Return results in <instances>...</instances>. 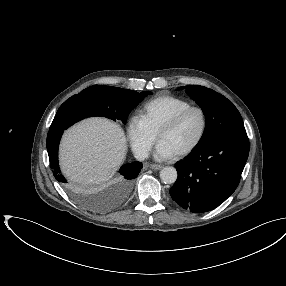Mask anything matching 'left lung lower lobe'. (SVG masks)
<instances>
[{"instance_id":"0a47b994","label":"left lung lower lobe","mask_w":286,"mask_h":286,"mask_svg":"<svg viewBox=\"0 0 286 286\" xmlns=\"http://www.w3.org/2000/svg\"><path fill=\"white\" fill-rule=\"evenodd\" d=\"M248 154V137H220L196 146L176 164L172 199L194 213L213 210L237 188Z\"/></svg>"}]
</instances>
